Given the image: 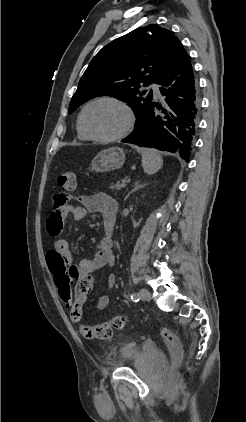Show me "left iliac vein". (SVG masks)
<instances>
[{"instance_id":"1","label":"left iliac vein","mask_w":246,"mask_h":422,"mask_svg":"<svg viewBox=\"0 0 246 422\" xmlns=\"http://www.w3.org/2000/svg\"><path fill=\"white\" fill-rule=\"evenodd\" d=\"M139 296L143 301H149L151 299V294L147 289H141L139 291Z\"/></svg>"}]
</instances>
